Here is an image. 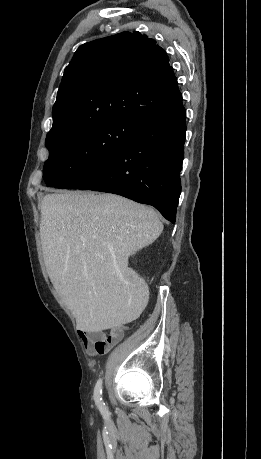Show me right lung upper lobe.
Returning a JSON list of instances; mask_svg holds the SVG:
<instances>
[{
	"instance_id": "right-lung-upper-lobe-1",
	"label": "right lung upper lobe",
	"mask_w": 261,
	"mask_h": 459,
	"mask_svg": "<svg viewBox=\"0 0 261 459\" xmlns=\"http://www.w3.org/2000/svg\"><path fill=\"white\" fill-rule=\"evenodd\" d=\"M182 101L167 53L139 32L83 44L65 68L47 135L115 120L144 124Z\"/></svg>"
}]
</instances>
